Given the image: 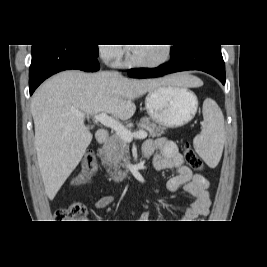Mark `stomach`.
Returning <instances> with one entry per match:
<instances>
[{
	"mask_svg": "<svg viewBox=\"0 0 267 267\" xmlns=\"http://www.w3.org/2000/svg\"><path fill=\"white\" fill-rule=\"evenodd\" d=\"M145 106L153 121L165 127L176 128L194 118L198 99L188 87L167 85L150 90Z\"/></svg>",
	"mask_w": 267,
	"mask_h": 267,
	"instance_id": "stomach-1",
	"label": "stomach"
}]
</instances>
